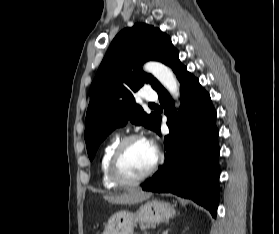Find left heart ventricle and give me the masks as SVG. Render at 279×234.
Masks as SVG:
<instances>
[{
	"instance_id": "b2bd125f",
	"label": "left heart ventricle",
	"mask_w": 279,
	"mask_h": 234,
	"mask_svg": "<svg viewBox=\"0 0 279 234\" xmlns=\"http://www.w3.org/2000/svg\"><path fill=\"white\" fill-rule=\"evenodd\" d=\"M156 151L144 140L131 142L120 160L121 173L128 178L140 176L152 165Z\"/></svg>"
}]
</instances>
